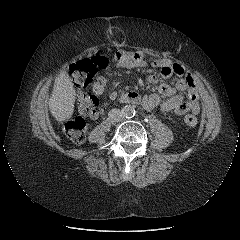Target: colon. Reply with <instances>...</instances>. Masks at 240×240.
I'll list each match as a JSON object with an SVG mask.
<instances>
[{
  "mask_svg": "<svg viewBox=\"0 0 240 240\" xmlns=\"http://www.w3.org/2000/svg\"><path fill=\"white\" fill-rule=\"evenodd\" d=\"M110 62V58L95 54L91 57L81 59L70 67V74L74 85L78 88V106L84 115H92L97 111L98 100L96 97L85 92V89L93 82L94 76L99 67H104ZM198 120L195 115H187L185 123L188 126H195ZM67 137L76 144L85 140L87 123L83 117H77L68 121L65 125Z\"/></svg>",
  "mask_w": 240,
  "mask_h": 240,
  "instance_id": "1",
  "label": "colon"
}]
</instances>
